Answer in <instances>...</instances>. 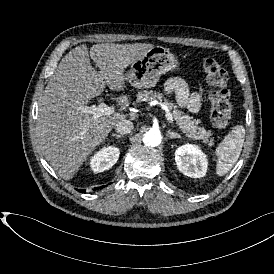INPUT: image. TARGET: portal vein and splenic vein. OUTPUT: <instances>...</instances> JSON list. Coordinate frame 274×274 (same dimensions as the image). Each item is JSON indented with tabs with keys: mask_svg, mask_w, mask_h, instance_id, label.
I'll return each mask as SVG.
<instances>
[{
	"mask_svg": "<svg viewBox=\"0 0 274 274\" xmlns=\"http://www.w3.org/2000/svg\"><path fill=\"white\" fill-rule=\"evenodd\" d=\"M162 109L165 111V116L167 120L173 121V116L168 107L164 104L161 105ZM80 110L83 113L91 114L94 119H97L101 116H109L115 113V107L108 106L104 102H101L98 106H81Z\"/></svg>",
	"mask_w": 274,
	"mask_h": 274,
	"instance_id": "portal-vein-and-splenic-vein-1",
	"label": "portal vein and splenic vein"
}]
</instances>
